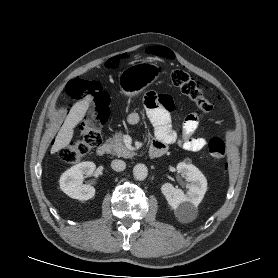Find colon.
I'll return each mask as SVG.
<instances>
[{
  "instance_id": "obj_1",
  "label": "colon",
  "mask_w": 278,
  "mask_h": 278,
  "mask_svg": "<svg viewBox=\"0 0 278 278\" xmlns=\"http://www.w3.org/2000/svg\"><path fill=\"white\" fill-rule=\"evenodd\" d=\"M118 60L108 62L109 67H116ZM172 84L183 94L190 97L202 112H209L213 104L204 89L184 70L174 69L170 73ZM66 94L73 99H83L92 95L97 106V114L86 119L81 128L80 137L61 150V158L68 163H75L87 156L101 142L100 126L106 119L107 97L96 82L85 79H73L66 87ZM208 150L213 160L220 162L226 156V146L222 139L214 137L208 142Z\"/></svg>"
}]
</instances>
